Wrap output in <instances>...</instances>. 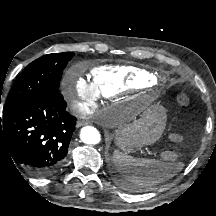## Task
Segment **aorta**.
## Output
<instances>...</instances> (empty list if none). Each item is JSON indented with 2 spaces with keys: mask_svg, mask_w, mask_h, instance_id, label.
I'll return each mask as SVG.
<instances>
[{
  "mask_svg": "<svg viewBox=\"0 0 216 216\" xmlns=\"http://www.w3.org/2000/svg\"><path fill=\"white\" fill-rule=\"evenodd\" d=\"M80 138L82 142L89 145H96L101 141L99 131L92 126L83 127L80 131Z\"/></svg>",
  "mask_w": 216,
  "mask_h": 216,
  "instance_id": "aorta-1",
  "label": "aorta"
}]
</instances>
